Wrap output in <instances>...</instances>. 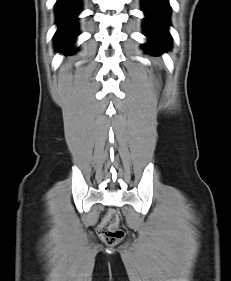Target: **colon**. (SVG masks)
Instances as JSON below:
<instances>
[{
	"label": "colon",
	"instance_id": "colon-1",
	"mask_svg": "<svg viewBox=\"0 0 231 281\" xmlns=\"http://www.w3.org/2000/svg\"><path fill=\"white\" fill-rule=\"evenodd\" d=\"M119 216L115 210L109 211L99 226V234L109 244L121 240L124 233L118 228Z\"/></svg>",
	"mask_w": 231,
	"mask_h": 281
}]
</instances>
